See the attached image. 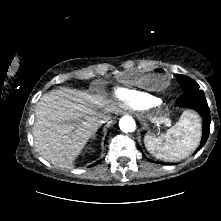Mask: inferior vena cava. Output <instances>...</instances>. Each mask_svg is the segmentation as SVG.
<instances>
[{
    "label": "inferior vena cava",
    "mask_w": 221,
    "mask_h": 221,
    "mask_svg": "<svg viewBox=\"0 0 221 221\" xmlns=\"http://www.w3.org/2000/svg\"><path fill=\"white\" fill-rule=\"evenodd\" d=\"M110 119H111V116L108 113H102L99 117V122L101 124H103V123L109 121Z\"/></svg>",
    "instance_id": "602c4592"
}]
</instances>
